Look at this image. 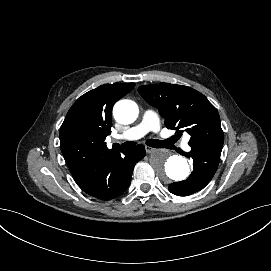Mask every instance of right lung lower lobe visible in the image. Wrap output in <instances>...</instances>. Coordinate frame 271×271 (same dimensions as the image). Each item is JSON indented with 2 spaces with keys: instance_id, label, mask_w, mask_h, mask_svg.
<instances>
[{
  "instance_id": "98d812e1",
  "label": "right lung lower lobe",
  "mask_w": 271,
  "mask_h": 271,
  "mask_svg": "<svg viewBox=\"0 0 271 271\" xmlns=\"http://www.w3.org/2000/svg\"><path fill=\"white\" fill-rule=\"evenodd\" d=\"M144 156L145 148L142 144L128 150L112 148L96 157L73 178L88 195L110 200L120 196L128 188L133 168Z\"/></svg>"
}]
</instances>
